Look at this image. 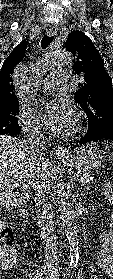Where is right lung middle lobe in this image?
<instances>
[{
  "label": "right lung middle lobe",
  "instance_id": "right-lung-middle-lobe-1",
  "mask_svg": "<svg viewBox=\"0 0 113 279\" xmlns=\"http://www.w3.org/2000/svg\"><path fill=\"white\" fill-rule=\"evenodd\" d=\"M18 113V103L0 109V134H7L12 131L20 130L18 120L16 118Z\"/></svg>",
  "mask_w": 113,
  "mask_h": 279
}]
</instances>
